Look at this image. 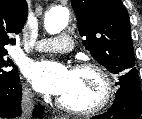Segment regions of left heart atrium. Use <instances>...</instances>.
Returning <instances> with one entry per match:
<instances>
[{
  "label": "left heart atrium",
  "instance_id": "1",
  "mask_svg": "<svg viewBox=\"0 0 142 119\" xmlns=\"http://www.w3.org/2000/svg\"><path fill=\"white\" fill-rule=\"evenodd\" d=\"M26 75L37 91L61 96L69 85L71 71L59 63L40 61L30 63Z\"/></svg>",
  "mask_w": 142,
  "mask_h": 119
}]
</instances>
